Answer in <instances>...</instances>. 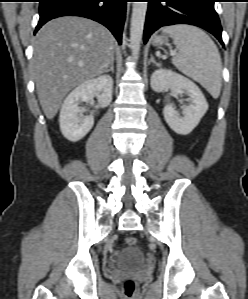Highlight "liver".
Returning a JSON list of instances; mask_svg holds the SVG:
<instances>
[{"instance_id":"6515ba94","label":"liver","mask_w":248,"mask_h":299,"mask_svg":"<svg viewBox=\"0 0 248 299\" xmlns=\"http://www.w3.org/2000/svg\"><path fill=\"white\" fill-rule=\"evenodd\" d=\"M114 38L101 24L82 17H60L37 33L32 71L40 105L48 119L77 85L108 69Z\"/></svg>"}]
</instances>
